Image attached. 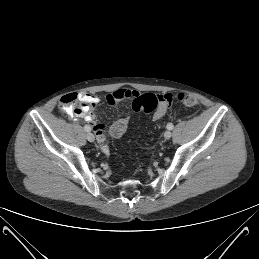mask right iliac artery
<instances>
[{"label": "right iliac artery", "instance_id": "82829eb1", "mask_svg": "<svg viewBox=\"0 0 259 259\" xmlns=\"http://www.w3.org/2000/svg\"><path fill=\"white\" fill-rule=\"evenodd\" d=\"M84 130H85L86 132H90V131H91V127H90L89 125H85V126H84Z\"/></svg>", "mask_w": 259, "mask_h": 259}]
</instances>
